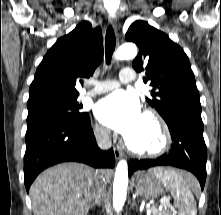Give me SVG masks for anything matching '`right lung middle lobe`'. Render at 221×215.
Returning a JSON list of instances; mask_svg holds the SVG:
<instances>
[{
    "instance_id": "right-lung-middle-lobe-1",
    "label": "right lung middle lobe",
    "mask_w": 221,
    "mask_h": 215,
    "mask_svg": "<svg viewBox=\"0 0 221 215\" xmlns=\"http://www.w3.org/2000/svg\"><path fill=\"white\" fill-rule=\"evenodd\" d=\"M81 107L77 99L55 101L28 107L27 126L52 117L83 118L88 113L80 112L79 109Z\"/></svg>"
}]
</instances>
